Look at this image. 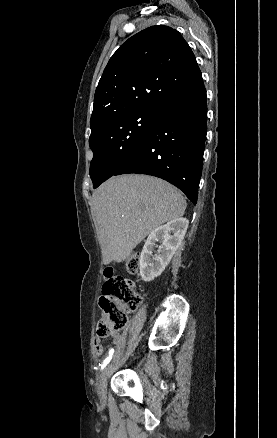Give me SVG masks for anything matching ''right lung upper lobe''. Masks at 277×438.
<instances>
[{"mask_svg":"<svg viewBox=\"0 0 277 438\" xmlns=\"http://www.w3.org/2000/svg\"><path fill=\"white\" fill-rule=\"evenodd\" d=\"M171 65L165 71L162 67ZM202 78L181 34L151 26L129 38L110 58L95 91L90 126L109 117L158 108Z\"/></svg>","mask_w":277,"mask_h":438,"instance_id":"obj_1","label":"right lung upper lobe"}]
</instances>
